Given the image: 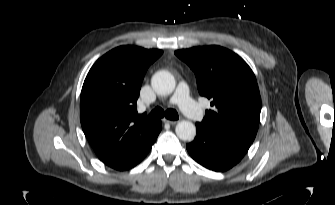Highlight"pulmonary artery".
<instances>
[{"instance_id":"e3ab8cb5","label":"pulmonary artery","mask_w":335,"mask_h":205,"mask_svg":"<svg viewBox=\"0 0 335 205\" xmlns=\"http://www.w3.org/2000/svg\"><path fill=\"white\" fill-rule=\"evenodd\" d=\"M170 103L177 104L194 121H200L203 118L202 110L190 97L189 88L184 82L179 83Z\"/></svg>"}]
</instances>
